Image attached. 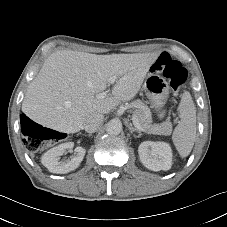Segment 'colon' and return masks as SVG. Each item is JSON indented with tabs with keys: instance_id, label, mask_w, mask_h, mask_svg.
<instances>
[{
	"instance_id": "obj_1",
	"label": "colon",
	"mask_w": 227,
	"mask_h": 227,
	"mask_svg": "<svg viewBox=\"0 0 227 227\" xmlns=\"http://www.w3.org/2000/svg\"><path fill=\"white\" fill-rule=\"evenodd\" d=\"M152 70L166 78L174 92L179 89L187 78V70L179 61L175 60L168 53H162L157 58ZM25 131L28 137L25 146L31 151L40 149L43 142L55 138L53 131L43 128L33 122H28L25 125Z\"/></svg>"
}]
</instances>
